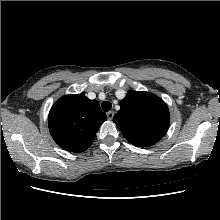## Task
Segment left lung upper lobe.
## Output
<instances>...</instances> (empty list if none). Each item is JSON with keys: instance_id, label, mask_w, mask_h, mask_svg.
Returning a JSON list of instances; mask_svg holds the SVG:
<instances>
[{"instance_id": "obj_1", "label": "left lung upper lobe", "mask_w": 220, "mask_h": 220, "mask_svg": "<svg viewBox=\"0 0 220 220\" xmlns=\"http://www.w3.org/2000/svg\"><path fill=\"white\" fill-rule=\"evenodd\" d=\"M113 122L125 138L137 147L157 143L169 127V110L165 102L148 92L130 91L120 103Z\"/></svg>"}]
</instances>
